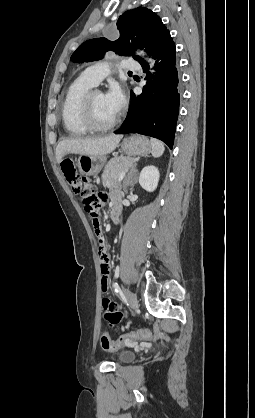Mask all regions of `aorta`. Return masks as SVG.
<instances>
[{"label":"aorta","mask_w":255,"mask_h":418,"mask_svg":"<svg viewBox=\"0 0 255 418\" xmlns=\"http://www.w3.org/2000/svg\"><path fill=\"white\" fill-rule=\"evenodd\" d=\"M139 54H140V55H142V56L144 55L142 52H140ZM148 62H151V60H150V59H148Z\"/></svg>","instance_id":"aorta-1"}]
</instances>
